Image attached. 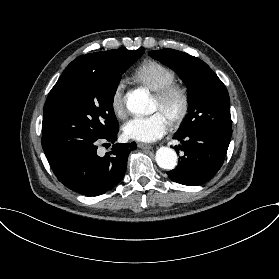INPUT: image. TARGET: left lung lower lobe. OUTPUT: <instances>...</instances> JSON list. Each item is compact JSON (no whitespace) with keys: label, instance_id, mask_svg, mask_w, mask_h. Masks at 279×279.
Here are the masks:
<instances>
[{"label":"left lung lower lobe","instance_id":"0a47b994","mask_svg":"<svg viewBox=\"0 0 279 279\" xmlns=\"http://www.w3.org/2000/svg\"><path fill=\"white\" fill-rule=\"evenodd\" d=\"M232 133L203 128L185 134L176 133L174 138L181 142L182 150L178 166L167 172L177 183L193 186L209 181L221 168ZM176 150L178 153L179 151Z\"/></svg>","mask_w":279,"mask_h":279}]
</instances>
